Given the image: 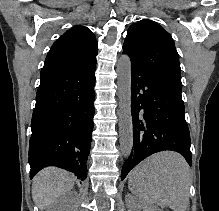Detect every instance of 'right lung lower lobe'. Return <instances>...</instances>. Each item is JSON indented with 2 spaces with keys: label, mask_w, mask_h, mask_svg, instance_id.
<instances>
[{
  "label": "right lung lower lobe",
  "mask_w": 219,
  "mask_h": 211,
  "mask_svg": "<svg viewBox=\"0 0 219 211\" xmlns=\"http://www.w3.org/2000/svg\"><path fill=\"white\" fill-rule=\"evenodd\" d=\"M96 62L41 70L32 116L30 178L58 166L86 179L94 116Z\"/></svg>",
  "instance_id": "98d812e1"
}]
</instances>
